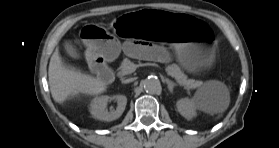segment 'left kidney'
<instances>
[{"label": "left kidney", "instance_id": "left-kidney-1", "mask_svg": "<svg viewBox=\"0 0 279 148\" xmlns=\"http://www.w3.org/2000/svg\"><path fill=\"white\" fill-rule=\"evenodd\" d=\"M176 106L179 113L188 120L196 116V109H204L203 103L188 98L180 99Z\"/></svg>", "mask_w": 279, "mask_h": 148}]
</instances>
